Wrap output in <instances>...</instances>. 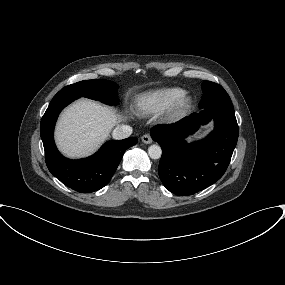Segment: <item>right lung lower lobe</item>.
<instances>
[{"label": "right lung lower lobe", "mask_w": 285, "mask_h": 285, "mask_svg": "<svg viewBox=\"0 0 285 285\" xmlns=\"http://www.w3.org/2000/svg\"><path fill=\"white\" fill-rule=\"evenodd\" d=\"M77 99L69 93H57L49 104L40 124L46 165L63 184L80 193H90L103 188L112 178L124 152L134 146L137 138L106 142L94 155L70 160L57 150L53 131L61 110Z\"/></svg>", "instance_id": "98d812e1"}]
</instances>
